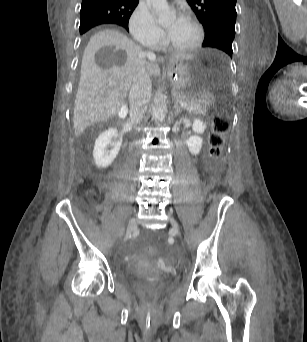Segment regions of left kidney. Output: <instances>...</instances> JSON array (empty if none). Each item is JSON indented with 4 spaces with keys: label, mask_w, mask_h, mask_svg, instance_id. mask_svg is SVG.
<instances>
[{
    "label": "left kidney",
    "mask_w": 307,
    "mask_h": 342,
    "mask_svg": "<svg viewBox=\"0 0 307 342\" xmlns=\"http://www.w3.org/2000/svg\"><path fill=\"white\" fill-rule=\"evenodd\" d=\"M205 124L202 122V120H197L195 118L193 124H192V130L193 132H196V134H204L205 132ZM203 140L200 138V136H190L186 142V146L190 152V154H193V156H197L199 154L201 148H202Z\"/></svg>",
    "instance_id": "1"
}]
</instances>
